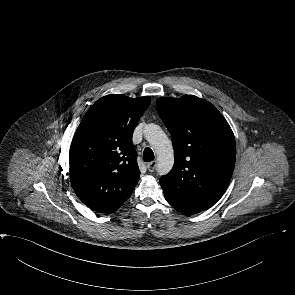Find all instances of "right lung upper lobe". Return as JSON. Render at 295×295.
<instances>
[{"instance_id": "1", "label": "right lung upper lobe", "mask_w": 295, "mask_h": 295, "mask_svg": "<svg viewBox=\"0 0 295 295\" xmlns=\"http://www.w3.org/2000/svg\"><path fill=\"white\" fill-rule=\"evenodd\" d=\"M150 97L107 95L84 115L70 146V180L90 209L112 213L133 192L140 171L133 130Z\"/></svg>"}]
</instances>
